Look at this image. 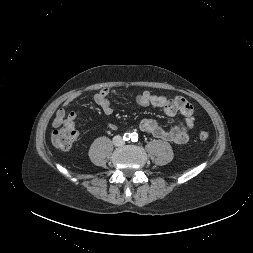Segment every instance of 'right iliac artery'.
I'll return each instance as SVG.
<instances>
[{
	"mask_svg": "<svg viewBox=\"0 0 253 253\" xmlns=\"http://www.w3.org/2000/svg\"><path fill=\"white\" fill-rule=\"evenodd\" d=\"M131 136H132V135H131L130 133H125L124 136H123V139H124L125 141H128V140H130Z\"/></svg>",
	"mask_w": 253,
	"mask_h": 253,
	"instance_id": "right-iliac-artery-1",
	"label": "right iliac artery"
}]
</instances>
